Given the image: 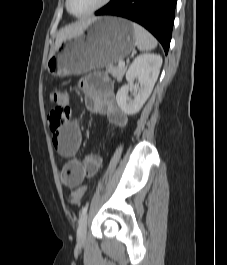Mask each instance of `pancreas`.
<instances>
[{
	"mask_svg": "<svg viewBox=\"0 0 227 265\" xmlns=\"http://www.w3.org/2000/svg\"><path fill=\"white\" fill-rule=\"evenodd\" d=\"M106 69L117 80H121L123 78L124 74H125V71H126L127 67L126 66L114 67L112 65H108Z\"/></svg>",
	"mask_w": 227,
	"mask_h": 265,
	"instance_id": "cf45deb5",
	"label": "pancreas"
}]
</instances>
